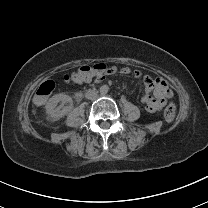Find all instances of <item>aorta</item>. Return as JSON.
<instances>
[{
    "label": "aorta",
    "mask_w": 208,
    "mask_h": 208,
    "mask_svg": "<svg viewBox=\"0 0 208 208\" xmlns=\"http://www.w3.org/2000/svg\"><path fill=\"white\" fill-rule=\"evenodd\" d=\"M98 90L102 95H106L109 92V87L107 84L102 83L99 85Z\"/></svg>",
    "instance_id": "aorta-1"
}]
</instances>
